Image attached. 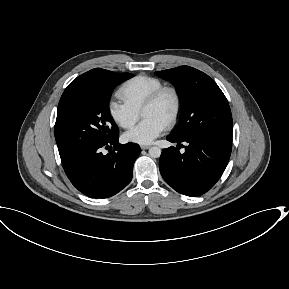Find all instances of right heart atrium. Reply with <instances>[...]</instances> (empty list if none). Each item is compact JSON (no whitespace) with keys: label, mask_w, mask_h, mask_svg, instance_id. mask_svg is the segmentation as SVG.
Wrapping results in <instances>:
<instances>
[{"label":"right heart atrium","mask_w":289,"mask_h":289,"mask_svg":"<svg viewBox=\"0 0 289 289\" xmlns=\"http://www.w3.org/2000/svg\"><path fill=\"white\" fill-rule=\"evenodd\" d=\"M108 113L111 119L124 129L132 128L139 119V112L124 102L111 100L108 103Z\"/></svg>","instance_id":"right-heart-atrium-1"}]
</instances>
